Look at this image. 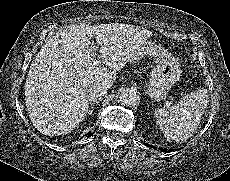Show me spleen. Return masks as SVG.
Listing matches in <instances>:
<instances>
[{"label":"spleen","mask_w":230,"mask_h":181,"mask_svg":"<svg viewBox=\"0 0 230 181\" xmlns=\"http://www.w3.org/2000/svg\"><path fill=\"white\" fill-rule=\"evenodd\" d=\"M205 90L186 95L170 108L155 111L161 131L167 140L190 138L196 131L207 104Z\"/></svg>","instance_id":"obj_1"}]
</instances>
